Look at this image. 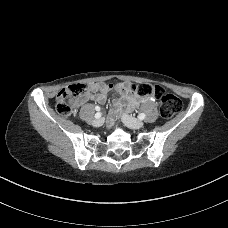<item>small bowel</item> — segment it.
I'll return each mask as SVG.
<instances>
[{
    "label": "small bowel",
    "mask_w": 228,
    "mask_h": 228,
    "mask_svg": "<svg viewBox=\"0 0 228 228\" xmlns=\"http://www.w3.org/2000/svg\"><path fill=\"white\" fill-rule=\"evenodd\" d=\"M130 83H119L113 85L111 83L94 82L89 84L88 91L80 98L79 104H84L88 101H94L98 104H105L108 93L115 89L119 97L113 100L110 109V117L116 118L123 110L131 111L140 103L154 100V96L139 97L130 90Z\"/></svg>",
    "instance_id": "small-bowel-1"
}]
</instances>
